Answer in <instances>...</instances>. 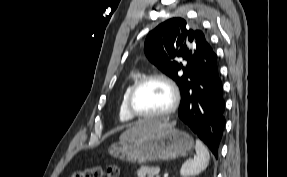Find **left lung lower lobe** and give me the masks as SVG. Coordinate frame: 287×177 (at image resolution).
<instances>
[{
	"instance_id": "obj_1",
	"label": "left lung lower lobe",
	"mask_w": 287,
	"mask_h": 177,
	"mask_svg": "<svg viewBox=\"0 0 287 177\" xmlns=\"http://www.w3.org/2000/svg\"><path fill=\"white\" fill-rule=\"evenodd\" d=\"M180 91L179 118L218 158L219 143L225 125V107L217 55L213 50Z\"/></svg>"
}]
</instances>
